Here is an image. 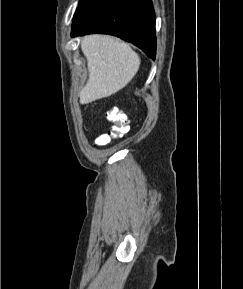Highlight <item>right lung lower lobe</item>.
Here are the masks:
<instances>
[{
	"instance_id": "1",
	"label": "right lung lower lobe",
	"mask_w": 243,
	"mask_h": 289,
	"mask_svg": "<svg viewBox=\"0 0 243 289\" xmlns=\"http://www.w3.org/2000/svg\"><path fill=\"white\" fill-rule=\"evenodd\" d=\"M110 34L133 43L155 59V12L151 0H82L71 36Z\"/></svg>"
}]
</instances>
